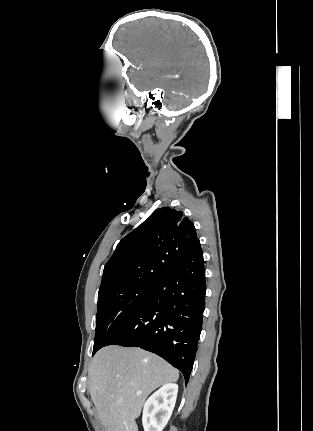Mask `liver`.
<instances>
[{
  "mask_svg": "<svg viewBox=\"0 0 313 431\" xmlns=\"http://www.w3.org/2000/svg\"><path fill=\"white\" fill-rule=\"evenodd\" d=\"M178 378V370L155 354L107 346L92 359L89 389L106 431H138L135 419L149 394Z\"/></svg>",
  "mask_w": 313,
  "mask_h": 431,
  "instance_id": "obj_1",
  "label": "liver"
}]
</instances>
